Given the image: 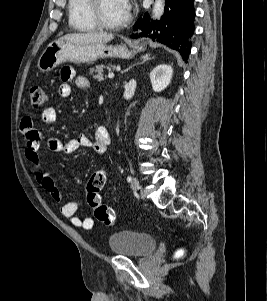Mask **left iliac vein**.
Wrapping results in <instances>:
<instances>
[{
	"label": "left iliac vein",
	"mask_w": 267,
	"mask_h": 301,
	"mask_svg": "<svg viewBox=\"0 0 267 301\" xmlns=\"http://www.w3.org/2000/svg\"><path fill=\"white\" fill-rule=\"evenodd\" d=\"M139 181L137 178H133L132 181H131V189L134 191V192H137L139 190Z\"/></svg>",
	"instance_id": "left-iliac-vein-1"
}]
</instances>
